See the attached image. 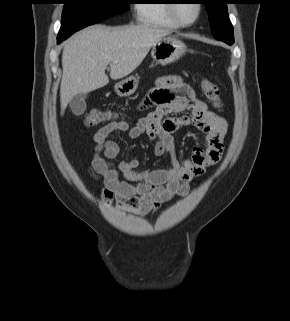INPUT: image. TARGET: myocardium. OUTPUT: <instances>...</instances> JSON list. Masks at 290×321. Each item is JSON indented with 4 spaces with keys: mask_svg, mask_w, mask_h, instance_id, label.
Returning a JSON list of instances; mask_svg holds the SVG:
<instances>
[{
    "mask_svg": "<svg viewBox=\"0 0 290 321\" xmlns=\"http://www.w3.org/2000/svg\"><path fill=\"white\" fill-rule=\"evenodd\" d=\"M169 2L171 3H168V10H169V14L171 16V18L179 25V26H183V27H189V26H192L194 25L198 20L199 18L201 17V14H202V4L198 1H195V4H196V8H197V14H196V17L190 21V22H186V21H183L177 14L176 12V8H177V4L175 2V0H169Z\"/></svg>",
    "mask_w": 290,
    "mask_h": 321,
    "instance_id": "obj_1",
    "label": "myocardium"
}]
</instances>
